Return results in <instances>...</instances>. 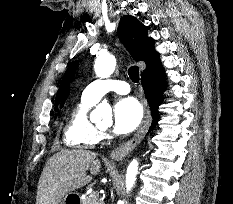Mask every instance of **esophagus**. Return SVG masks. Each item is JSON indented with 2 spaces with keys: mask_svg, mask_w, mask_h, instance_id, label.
<instances>
[{
  "mask_svg": "<svg viewBox=\"0 0 233 204\" xmlns=\"http://www.w3.org/2000/svg\"><path fill=\"white\" fill-rule=\"evenodd\" d=\"M150 124H151V114L149 108H147L145 111L144 119L138 131L129 141H127L123 145L113 150L111 153V158L116 161L124 159L129 154V152H131L141 142Z\"/></svg>",
  "mask_w": 233,
  "mask_h": 204,
  "instance_id": "34e87169",
  "label": "esophagus"
}]
</instances>
